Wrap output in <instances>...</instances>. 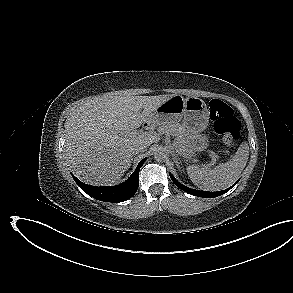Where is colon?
<instances>
[{
	"label": "colon",
	"instance_id": "colon-1",
	"mask_svg": "<svg viewBox=\"0 0 293 293\" xmlns=\"http://www.w3.org/2000/svg\"><path fill=\"white\" fill-rule=\"evenodd\" d=\"M209 111L216 133L222 136L226 145H234L240 137L241 122L232 108L219 99H212L209 102Z\"/></svg>",
	"mask_w": 293,
	"mask_h": 293
}]
</instances>
